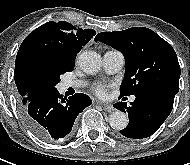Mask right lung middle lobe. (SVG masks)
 <instances>
[{
  "instance_id": "obj_1",
  "label": "right lung middle lobe",
  "mask_w": 190,
  "mask_h": 165,
  "mask_svg": "<svg viewBox=\"0 0 190 165\" xmlns=\"http://www.w3.org/2000/svg\"><path fill=\"white\" fill-rule=\"evenodd\" d=\"M74 63L44 50H35L27 62V79L31 93L35 96L41 92L56 89L60 76L72 71Z\"/></svg>"
}]
</instances>
